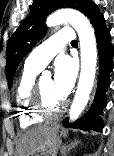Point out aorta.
<instances>
[{
  "label": "aorta",
  "mask_w": 114,
  "mask_h": 156,
  "mask_svg": "<svg viewBox=\"0 0 114 156\" xmlns=\"http://www.w3.org/2000/svg\"><path fill=\"white\" fill-rule=\"evenodd\" d=\"M66 22L70 23L77 31L81 50L80 79L69 114L70 120L75 121L87 105L93 87L97 63V47L94 30L89 20L81 12L73 9H61L47 19L49 27Z\"/></svg>",
  "instance_id": "obj_1"
}]
</instances>
